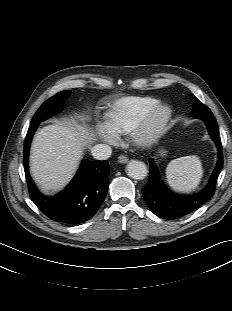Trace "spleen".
Returning a JSON list of instances; mask_svg holds the SVG:
<instances>
[{"instance_id":"obj_1","label":"spleen","mask_w":232,"mask_h":311,"mask_svg":"<svg viewBox=\"0 0 232 311\" xmlns=\"http://www.w3.org/2000/svg\"><path fill=\"white\" fill-rule=\"evenodd\" d=\"M202 176V164L195 155L174 159L166 168L168 184L179 192L189 193L195 190Z\"/></svg>"}]
</instances>
